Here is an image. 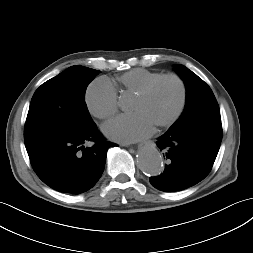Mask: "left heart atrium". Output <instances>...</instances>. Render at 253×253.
Instances as JSON below:
<instances>
[{"label": "left heart atrium", "mask_w": 253, "mask_h": 253, "mask_svg": "<svg viewBox=\"0 0 253 253\" xmlns=\"http://www.w3.org/2000/svg\"><path fill=\"white\" fill-rule=\"evenodd\" d=\"M155 125L143 113L119 116L103 126V132L110 138L130 143L148 137L154 131Z\"/></svg>", "instance_id": "39dd6f15"}]
</instances>
